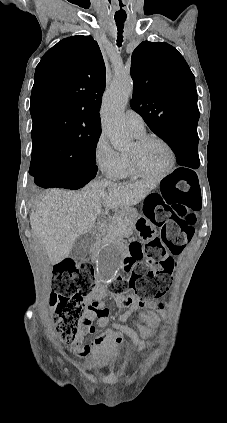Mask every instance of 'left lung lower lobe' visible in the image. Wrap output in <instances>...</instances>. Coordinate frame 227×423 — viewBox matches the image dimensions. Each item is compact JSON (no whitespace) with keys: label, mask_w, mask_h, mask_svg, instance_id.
I'll return each mask as SVG.
<instances>
[{"label":"left lung lower lobe","mask_w":227,"mask_h":423,"mask_svg":"<svg viewBox=\"0 0 227 423\" xmlns=\"http://www.w3.org/2000/svg\"><path fill=\"white\" fill-rule=\"evenodd\" d=\"M198 134L175 137L168 141V145L174 151L179 165L197 169L200 161L198 156ZM173 175H191L196 174L187 168L177 169Z\"/></svg>","instance_id":"1"}]
</instances>
